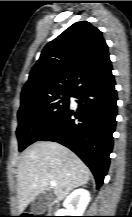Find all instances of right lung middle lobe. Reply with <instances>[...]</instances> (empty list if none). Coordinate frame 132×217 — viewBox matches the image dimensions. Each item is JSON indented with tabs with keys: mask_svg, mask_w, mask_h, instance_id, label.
<instances>
[{
	"mask_svg": "<svg viewBox=\"0 0 132 217\" xmlns=\"http://www.w3.org/2000/svg\"><path fill=\"white\" fill-rule=\"evenodd\" d=\"M73 93L27 96L21 98L18 111L17 137L19 151L38 141L61 117L70 105Z\"/></svg>",
	"mask_w": 132,
	"mask_h": 217,
	"instance_id": "dd1d6c3e",
	"label": "right lung middle lobe"
}]
</instances>
